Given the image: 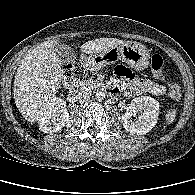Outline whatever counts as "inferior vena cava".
Listing matches in <instances>:
<instances>
[{"label": "inferior vena cava", "instance_id": "inferior-vena-cava-1", "mask_svg": "<svg viewBox=\"0 0 195 195\" xmlns=\"http://www.w3.org/2000/svg\"><path fill=\"white\" fill-rule=\"evenodd\" d=\"M75 97L78 100V102L84 103V102L89 101L93 97V95L90 90L85 89V90L78 92Z\"/></svg>", "mask_w": 195, "mask_h": 195}]
</instances>
